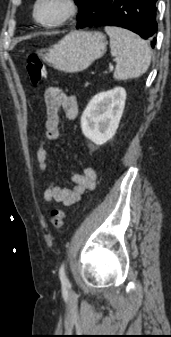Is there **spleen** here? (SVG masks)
<instances>
[{"label":"spleen","instance_id":"3e777b00","mask_svg":"<svg viewBox=\"0 0 171 337\" xmlns=\"http://www.w3.org/2000/svg\"><path fill=\"white\" fill-rule=\"evenodd\" d=\"M111 55L118 59L114 78L127 80L143 75L151 62V51L145 40L135 33L116 26H106Z\"/></svg>","mask_w":171,"mask_h":337}]
</instances>
